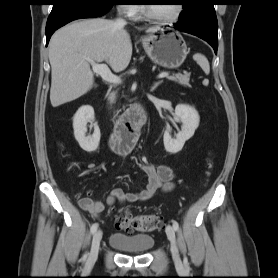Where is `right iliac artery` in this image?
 Here are the masks:
<instances>
[{
    "label": "right iliac artery",
    "instance_id": "obj_1",
    "mask_svg": "<svg viewBox=\"0 0 278 278\" xmlns=\"http://www.w3.org/2000/svg\"><path fill=\"white\" fill-rule=\"evenodd\" d=\"M97 228H98V224L94 223L90 228L91 234H94L96 232Z\"/></svg>",
    "mask_w": 278,
    "mask_h": 278
}]
</instances>
